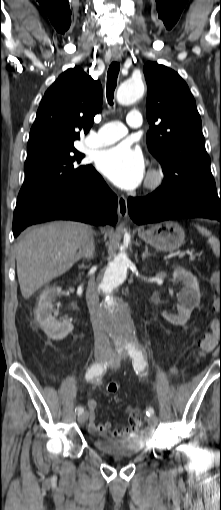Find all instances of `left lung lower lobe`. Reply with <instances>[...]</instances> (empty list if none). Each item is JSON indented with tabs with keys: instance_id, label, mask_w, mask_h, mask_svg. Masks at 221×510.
<instances>
[{
	"instance_id": "obj_1",
	"label": "left lung lower lobe",
	"mask_w": 221,
	"mask_h": 510,
	"mask_svg": "<svg viewBox=\"0 0 221 510\" xmlns=\"http://www.w3.org/2000/svg\"><path fill=\"white\" fill-rule=\"evenodd\" d=\"M127 205L130 217L137 224L201 217L216 219L221 225V195L217 193L163 194L157 189L146 197H129Z\"/></svg>"
}]
</instances>
